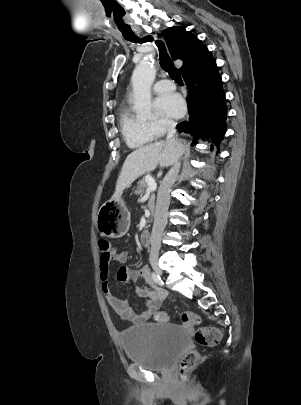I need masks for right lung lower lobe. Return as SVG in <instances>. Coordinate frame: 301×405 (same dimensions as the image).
Segmentation results:
<instances>
[{
    "label": "right lung lower lobe",
    "mask_w": 301,
    "mask_h": 405,
    "mask_svg": "<svg viewBox=\"0 0 301 405\" xmlns=\"http://www.w3.org/2000/svg\"><path fill=\"white\" fill-rule=\"evenodd\" d=\"M182 75L188 87L186 100L190 117L176 128L193 136L192 145L205 135L218 147L226 132L227 108L216 62L212 58ZM200 128L204 131L200 132Z\"/></svg>",
    "instance_id": "1"
}]
</instances>
